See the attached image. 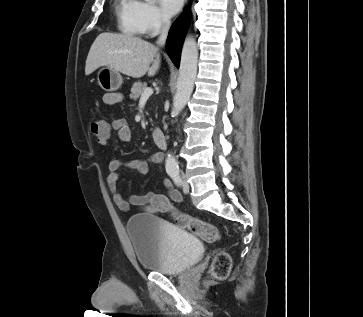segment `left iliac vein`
<instances>
[{
  "label": "left iliac vein",
  "instance_id": "4c4485c4",
  "mask_svg": "<svg viewBox=\"0 0 363 317\" xmlns=\"http://www.w3.org/2000/svg\"><path fill=\"white\" fill-rule=\"evenodd\" d=\"M182 188H183V192L184 193H188L189 192V184L187 183L186 180H183Z\"/></svg>",
  "mask_w": 363,
  "mask_h": 317
}]
</instances>
